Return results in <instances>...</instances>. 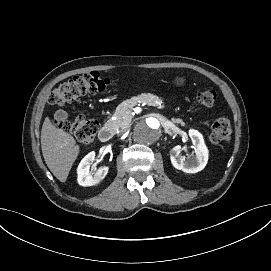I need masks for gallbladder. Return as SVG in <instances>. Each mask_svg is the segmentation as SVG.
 Returning a JSON list of instances; mask_svg holds the SVG:
<instances>
[{
	"mask_svg": "<svg viewBox=\"0 0 271 271\" xmlns=\"http://www.w3.org/2000/svg\"><path fill=\"white\" fill-rule=\"evenodd\" d=\"M68 118V113L62 109H59L54 114V119L57 121H65Z\"/></svg>",
	"mask_w": 271,
	"mask_h": 271,
	"instance_id": "bac80fb5",
	"label": "gallbladder"
}]
</instances>
